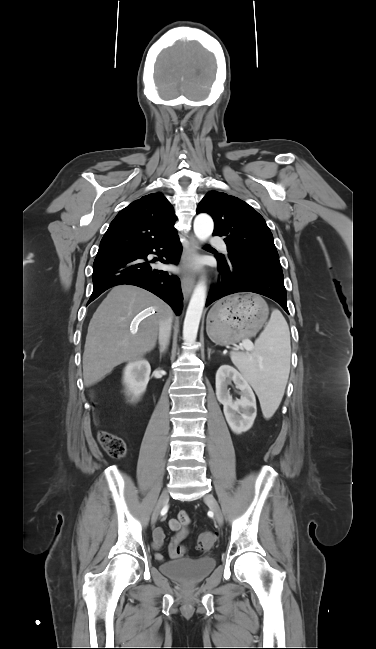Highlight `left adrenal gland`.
<instances>
[{"label": "left adrenal gland", "mask_w": 376, "mask_h": 649, "mask_svg": "<svg viewBox=\"0 0 376 649\" xmlns=\"http://www.w3.org/2000/svg\"><path fill=\"white\" fill-rule=\"evenodd\" d=\"M210 356H211V349L208 348V359H210Z\"/></svg>", "instance_id": "left-adrenal-gland-1"}]
</instances>
